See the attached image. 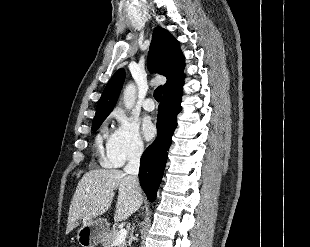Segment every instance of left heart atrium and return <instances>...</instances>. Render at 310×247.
Masks as SVG:
<instances>
[{
	"instance_id": "obj_1",
	"label": "left heart atrium",
	"mask_w": 310,
	"mask_h": 247,
	"mask_svg": "<svg viewBox=\"0 0 310 247\" xmlns=\"http://www.w3.org/2000/svg\"><path fill=\"white\" fill-rule=\"evenodd\" d=\"M156 134V129L154 125L150 121H145L143 123V135L147 140H151L154 138Z\"/></svg>"
}]
</instances>
